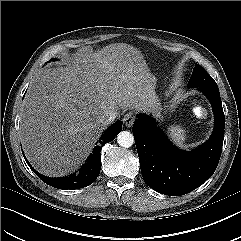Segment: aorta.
Here are the masks:
<instances>
[{"instance_id": "obj_1", "label": "aorta", "mask_w": 241, "mask_h": 241, "mask_svg": "<svg viewBox=\"0 0 241 241\" xmlns=\"http://www.w3.org/2000/svg\"><path fill=\"white\" fill-rule=\"evenodd\" d=\"M117 142L120 146L129 148L134 143V137L129 131H121L117 136Z\"/></svg>"}]
</instances>
